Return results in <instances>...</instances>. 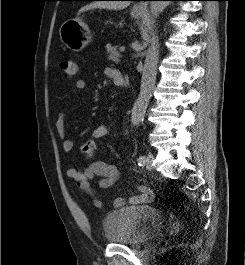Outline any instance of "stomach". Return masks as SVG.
Segmentation results:
<instances>
[{
  "label": "stomach",
  "mask_w": 245,
  "mask_h": 265,
  "mask_svg": "<svg viewBox=\"0 0 245 265\" xmlns=\"http://www.w3.org/2000/svg\"><path fill=\"white\" fill-rule=\"evenodd\" d=\"M142 14L143 11L131 12L133 17H140ZM59 34L62 43L74 52L82 51L92 41L88 25L80 17L65 21Z\"/></svg>",
  "instance_id": "0dacf381"
}]
</instances>
